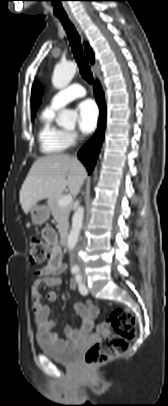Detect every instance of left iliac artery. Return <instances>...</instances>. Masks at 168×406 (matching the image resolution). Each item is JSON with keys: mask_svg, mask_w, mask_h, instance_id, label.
Returning <instances> with one entry per match:
<instances>
[{"mask_svg": "<svg viewBox=\"0 0 168 406\" xmlns=\"http://www.w3.org/2000/svg\"><path fill=\"white\" fill-rule=\"evenodd\" d=\"M75 279L78 284L79 292L82 295H86L88 293V290H87L86 286L84 285V283L82 282V276L80 274H77L75 276Z\"/></svg>", "mask_w": 168, "mask_h": 406, "instance_id": "1", "label": "left iliac artery"}]
</instances>
